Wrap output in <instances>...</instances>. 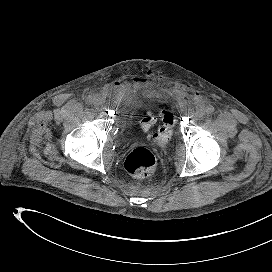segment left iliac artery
Here are the masks:
<instances>
[{
    "instance_id": "1",
    "label": "left iliac artery",
    "mask_w": 272,
    "mask_h": 272,
    "mask_svg": "<svg viewBox=\"0 0 272 272\" xmlns=\"http://www.w3.org/2000/svg\"><path fill=\"white\" fill-rule=\"evenodd\" d=\"M214 110H215V108L212 105H208L207 108H206V112L208 114H212L214 112Z\"/></svg>"
}]
</instances>
